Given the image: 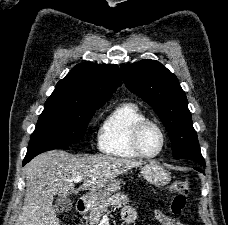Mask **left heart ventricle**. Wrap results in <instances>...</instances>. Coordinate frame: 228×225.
Instances as JSON below:
<instances>
[{"mask_svg":"<svg viewBox=\"0 0 228 225\" xmlns=\"http://www.w3.org/2000/svg\"><path fill=\"white\" fill-rule=\"evenodd\" d=\"M142 143L147 153H157L161 147V135L159 131L153 127L148 128L143 135Z\"/></svg>","mask_w":228,"mask_h":225,"instance_id":"1","label":"left heart ventricle"}]
</instances>
